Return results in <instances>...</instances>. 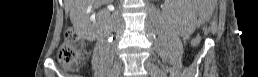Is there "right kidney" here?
<instances>
[{"label":"right kidney","mask_w":258,"mask_h":77,"mask_svg":"<svg viewBox=\"0 0 258 77\" xmlns=\"http://www.w3.org/2000/svg\"><path fill=\"white\" fill-rule=\"evenodd\" d=\"M100 2L101 1H96L93 4H99ZM93 4L88 5V6L83 8V13L85 15L84 20L80 19V16H78V12L73 11V13H74V25L76 26L80 35L84 39H87V40H89L90 37H91V31H90L91 30V28H90L91 25L89 24V21H91L93 19V16L89 17L88 11H89V6H92ZM78 9H80V8H78Z\"/></svg>","instance_id":"obj_1"}]
</instances>
